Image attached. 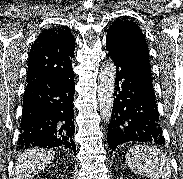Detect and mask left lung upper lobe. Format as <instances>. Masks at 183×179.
<instances>
[{
    "instance_id": "5c2ea615",
    "label": "left lung upper lobe",
    "mask_w": 183,
    "mask_h": 179,
    "mask_svg": "<svg viewBox=\"0 0 183 179\" xmlns=\"http://www.w3.org/2000/svg\"><path fill=\"white\" fill-rule=\"evenodd\" d=\"M107 37H113L127 50L143 59L151 72L148 45L142 30L137 24L126 18L117 19L109 27Z\"/></svg>"
}]
</instances>
